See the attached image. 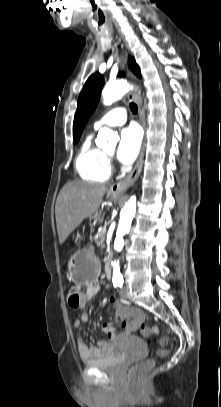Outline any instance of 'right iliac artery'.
Wrapping results in <instances>:
<instances>
[{"instance_id":"right-iliac-artery-1","label":"right iliac artery","mask_w":221,"mask_h":407,"mask_svg":"<svg viewBox=\"0 0 221 407\" xmlns=\"http://www.w3.org/2000/svg\"><path fill=\"white\" fill-rule=\"evenodd\" d=\"M114 287H117V283H114Z\"/></svg>"}]
</instances>
